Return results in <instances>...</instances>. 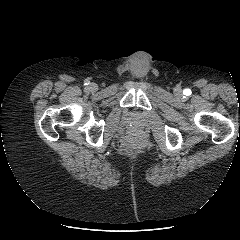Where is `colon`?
I'll return each mask as SVG.
<instances>
[{"label": "colon", "mask_w": 240, "mask_h": 240, "mask_svg": "<svg viewBox=\"0 0 240 240\" xmlns=\"http://www.w3.org/2000/svg\"><path fill=\"white\" fill-rule=\"evenodd\" d=\"M140 145L141 140L137 136H128L119 141V147L126 152L135 151Z\"/></svg>", "instance_id": "obj_1"}]
</instances>
